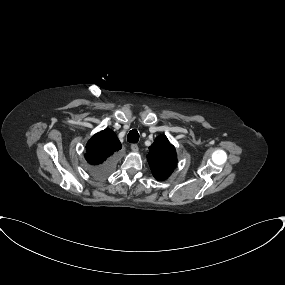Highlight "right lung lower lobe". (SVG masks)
<instances>
[{"label":"right lung lower lobe","mask_w":285,"mask_h":285,"mask_svg":"<svg viewBox=\"0 0 285 285\" xmlns=\"http://www.w3.org/2000/svg\"><path fill=\"white\" fill-rule=\"evenodd\" d=\"M115 162L113 159H109L101 165L96 166L92 171V175L96 178H105L113 171Z\"/></svg>","instance_id":"right-lung-lower-lobe-1"}]
</instances>
